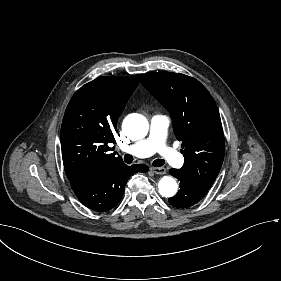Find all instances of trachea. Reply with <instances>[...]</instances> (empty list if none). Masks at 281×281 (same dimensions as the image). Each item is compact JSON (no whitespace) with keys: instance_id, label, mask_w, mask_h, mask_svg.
Wrapping results in <instances>:
<instances>
[{"instance_id":"1","label":"trachea","mask_w":281,"mask_h":281,"mask_svg":"<svg viewBox=\"0 0 281 281\" xmlns=\"http://www.w3.org/2000/svg\"><path fill=\"white\" fill-rule=\"evenodd\" d=\"M134 160V157L130 154H125L124 155V161L128 164L132 163ZM165 164V160L163 159H156L153 161L152 165L155 167H161Z\"/></svg>"}]
</instances>
